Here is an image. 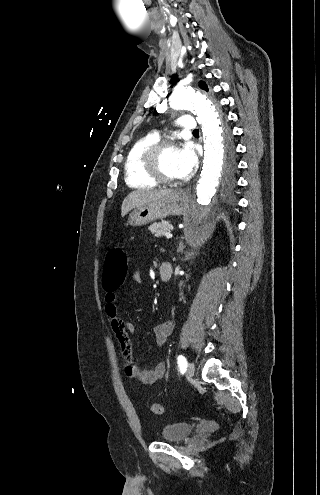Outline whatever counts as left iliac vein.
<instances>
[{
  "instance_id": "obj_1",
  "label": "left iliac vein",
  "mask_w": 320,
  "mask_h": 495,
  "mask_svg": "<svg viewBox=\"0 0 320 495\" xmlns=\"http://www.w3.org/2000/svg\"><path fill=\"white\" fill-rule=\"evenodd\" d=\"M195 373V367L192 363H189L186 369V375L188 377H193Z\"/></svg>"
}]
</instances>
